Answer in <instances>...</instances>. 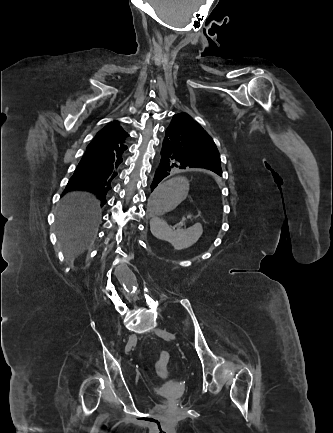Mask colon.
<instances>
[{
	"instance_id": "5ec220e1",
	"label": "colon",
	"mask_w": 333,
	"mask_h": 433,
	"mask_svg": "<svg viewBox=\"0 0 333 433\" xmlns=\"http://www.w3.org/2000/svg\"><path fill=\"white\" fill-rule=\"evenodd\" d=\"M170 362V354L167 351H161L156 359V371L157 373L165 378L168 375V364Z\"/></svg>"
}]
</instances>
